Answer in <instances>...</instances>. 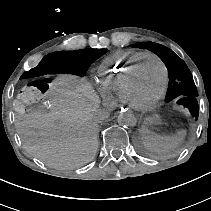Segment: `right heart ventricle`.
<instances>
[{
	"instance_id": "right-heart-ventricle-1",
	"label": "right heart ventricle",
	"mask_w": 211,
	"mask_h": 211,
	"mask_svg": "<svg viewBox=\"0 0 211 211\" xmlns=\"http://www.w3.org/2000/svg\"><path fill=\"white\" fill-rule=\"evenodd\" d=\"M145 55L147 53L136 55L132 50H125L95 67L93 78L99 83L100 92L107 104L114 105L121 100L125 78Z\"/></svg>"
}]
</instances>
